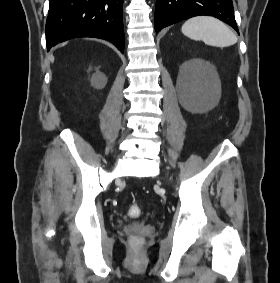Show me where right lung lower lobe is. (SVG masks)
Wrapping results in <instances>:
<instances>
[{
  "label": "right lung lower lobe",
  "mask_w": 280,
  "mask_h": 283,
  "mask_svg": "<svg viewBox=\"0 0 280 283\" xmlns=\"http://www.w3.org/2000/svg\"><path fill=\"white\" fill-rule=\"evenodd\" d=\"M123 0H50L46 21L47 50L59 42L95 37L125 47Z\"/></svg>",
  "instance_id": "obj_1"
}]
</instances>
